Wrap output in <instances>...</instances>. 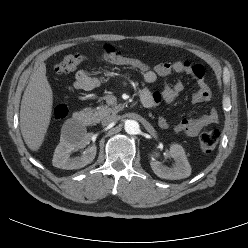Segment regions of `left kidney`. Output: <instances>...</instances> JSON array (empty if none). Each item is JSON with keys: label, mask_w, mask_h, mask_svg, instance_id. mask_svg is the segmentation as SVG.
<instances>
[{"label": "left kidney", "mask_w": 248, "mask_h": 248, "mask_svg": "<svg viewBox=\"0 0 248 248\" xmlns=\"http://www.w3.org/2000/svg\"><path fill=\"white\" fill-rule=\"evenodd\" d=\"M169 154L175 161L174 165L168 167L152 158L150 165L153 172L160 178L170 180L189 177L191 175V166L187 160L183 147L179 144H172Z\"/></svg>", "instance_id": "5707ae66"}]
</instances>
